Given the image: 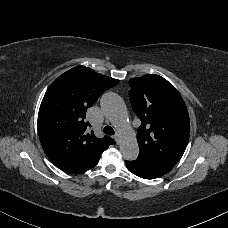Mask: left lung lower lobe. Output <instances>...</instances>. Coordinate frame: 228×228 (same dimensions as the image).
I'll return each instance as SVG.
<instances>
[{"label":"left lung lower lobe","mask_w":228,"mask_h":228,"mask_svg":"<svg viewBox=\"0 0 228 228\" xmlns=\"http://www.w3.org/2000/svg\"><path fill=\"white\" fill-rule=\"evenodd\" d=\"M126 166L141 178L154 179L168 173L174 165L139 155L134 161H126Z\"/></svg>","instance_id":"1"}]
</instances>
